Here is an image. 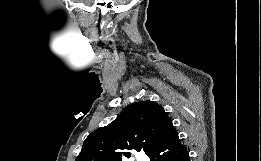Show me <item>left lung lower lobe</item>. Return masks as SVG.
I'll return each mask as SVG.
<instances>
[{"instance_id": "obj_1", "label": "left lung lower lobe", "mask_w": 261, "mask_h": 161, "mask_svg": "<svg viewBox=\"0 0 261 161\" xmlns=\"http://www.w3.org/2000/svg\"><path fill=\"white\" fill-rule=\"evenodd\" d=\"M148 157L151 161H190L189 153L185 145L181 144L177 131H174L169 139Z\"/></svg>"}]
</instances>
